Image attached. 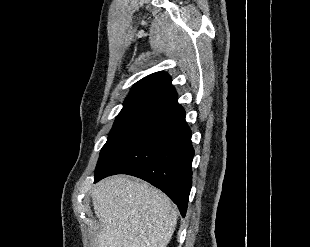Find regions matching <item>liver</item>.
<instances>
[{"label":"liver","instance_id":"liver-1","mask_svg":"<svg viewBox=\"0 0 310 247\" xmlns=\"http://www.w3.org/2000/svg\"><path fill=\"white\" fill-rule=\"evenodd\" d=\"M102 229L96 247H167L177 224L171 200L147 182L114 176L92 191Z\"/></svg>","mask_w":310,"mask_h":247}]
</instances>
